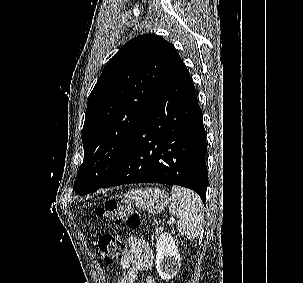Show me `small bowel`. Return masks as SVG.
<instances>
[{
	"mask_svg": "<svg viewBox=\"0 0 303 283\" xmlns=\"http://www.w3.org/2000/svg\"><path fill=\"white\" fill-rule=\"evenodd\" d=\"M153 253L145 241L136 238H129V250L123 255L120 261V268L123 271L116 283H133L137 272L147 270L151 267ZM146 283H155L152 278H147Z\"/></svg>",
	"mask_w": 303,
	"mask_h": 283,
	"instance_id": "obj_1",
	"label": "small bowel"
}]
</instances>
